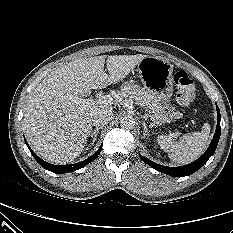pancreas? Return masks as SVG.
Listing matches in <instances>:
<instances>
[{"instance_id":"cf45deb5","label":"pancreas","mask_w":233,"mask_h":233,"mask_svg":"<svg viewBox=\"0 0 233 233\" xmlns=\"http://www.w3.org/2000/svg\"><path fill=\"white\" fill-rule=\"evenodd\" d=\"M121 98L129 97L134 99L141 107H146L149 110V116L152 121L156 122H170L172 116L168 115L163 109V106L154 101L151 95L145 90L132 82H125L118 92Z\"/></svg>"}]
</instances>
